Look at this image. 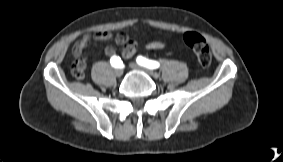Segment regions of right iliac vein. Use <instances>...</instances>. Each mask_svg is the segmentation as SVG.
Instances as JSON below:
<instances>
[{
	"label": "right iliac vein",
	"mask_w": 283,
	"mask_h": 162,
	"mask_svg": "<svg viewBox=\"0 0 283 162\" xmlns=\"http://www.w3.org/2000/svg\"><path fill=\"white\" fill-rule=\"evenodd\" d=\"M114 74L116 77H121L123 75V69L122 68H116L114 70Z\"/></svg>",
	"instance_id": "1"
}]
</instances>
